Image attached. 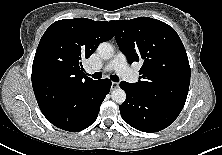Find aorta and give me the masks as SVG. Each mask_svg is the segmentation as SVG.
<instances>
[{
  "label": "aorta",
  "mask_w": 222,
  "mask_h": 155,
  "mask_svg": "<svg viewBox=\"0 0 222 155\" xmlns=\"http://www.w3.org/2000/svg\"><path fill=\"white\" fill-rule=\"evenodd\" d=\"M98 53L103 59H110L113 56V46L108 42H103L98 46ZM111 98L114 102L122 104L126 100V93L121 88H116L111 92Z\"/></svg>",
  "instance_id": "762f6f07"
}]
</instances>
